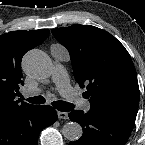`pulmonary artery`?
Returning <instances> with one entry per match:
<instances>
[{"instance_id":"1","label":"pulmonary artery","mask_w":145,"mask_h":145,"mask_svg":"<svg viewBox=\"0 0 145 145\" xmlns=\"http://www.w3.org/2000/svg\"><path fill=\"white\" fill-rule=\"evenodd\" d=\"M52 81L56 84L59 93L72 101L73 103L78 104L81 109L85 112H88L91 108V103L88 100L82 99L79 94L71 86L65 68L60 64L56 63L52 72ZM40 90H27L24 95L26 97H31L38 94Z\"/></svg>"}]
</instances>
